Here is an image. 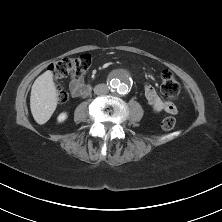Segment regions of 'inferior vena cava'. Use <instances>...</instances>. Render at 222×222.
Returning <instances> with one entry per match:
<instances>
[{
	"label": "inferior vena cava",
	"instance_id": "602c4592",
	"mask_svg": "<svg viewBox=\"0 0 222 222\" xmlns=\"http://www.w3.org/2000/svg\"><path fill=\"white\" fill-rule=\"evenodd\" d=\"M109 92V86L106 84H98L94 87V93L96 95H106Z\"/></svg>",
	"mask_w": 222,
	"mask_h": 222
}]
</instances>
